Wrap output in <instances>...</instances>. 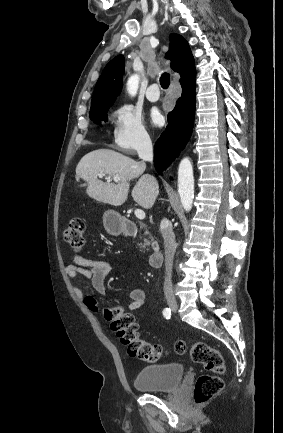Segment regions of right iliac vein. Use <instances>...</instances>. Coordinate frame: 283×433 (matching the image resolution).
I'll return each instance as SVG.
<instances>
[{
	"mask_svg": "<svg viewBox=\"0 0 283 433\" xmlns=\"http://www.w3.org/2000/svg\"><path fill=\"white\" fill-rule=\"evenodd\" d=\"M167 304L172 311L176 312L178 310V303L174 297L168 296L167 297Z\"/></svg>",
	"mask_w": 283,
	"mask_h": 433,
	"instance_id": "obj_1",
	"label": "right iliac vein"
}]
</instances>
